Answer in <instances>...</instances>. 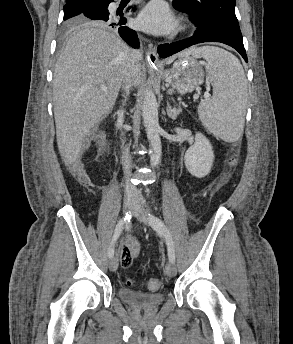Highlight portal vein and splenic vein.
Here are the masks:
<instances>
[{
    "label": "portal vein and splenic vein",
    "instance_id": "portal-vein-and-splenic-vein-1",
    "mask_svg": "<svg viewBox=\"0 0 293 344\" xmlns=\"http://www.w3.org/2000/svg\"><path fill=\"white\" fill-rule=\"evenodd\" d=\"M198 97H199L198 95H195V96H194L195 99H197ZM204 97H205V98L209 97V92H208V91H206V92L204 93Z\"/></svg>",
    "mask_w": 293,
    "mask_h": 344
}]
</instances>
